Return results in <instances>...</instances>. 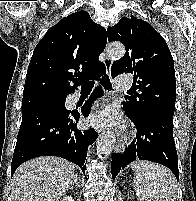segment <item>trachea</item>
Instances as JSON below:
<instances>
[{
    "mask_svg": "<svg viewBox=\"0 0 196 201\" xmlns=\"http://www.w3.org/2000/svg\"><path fill=\"white\" fill-rule=\"evenodd\" d=\"M101 84L105 89L107 90L111 89V82L107 75L102 77ZM93 87H94V81H88L82 85V90H92Z\"/></svg>",
    "mask_w": 196,
    "mask_h": 201,
    "instance_id": "3493384b",
    "label": "trachea"
}]
</instances>
